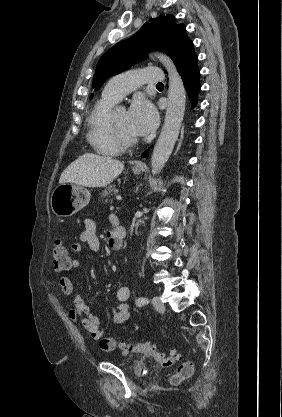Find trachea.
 <instances>
[{
	"label": "trachea",
	"instance_id": "1",
	"mask_svg": "<svg viewBox=\"0 0 282 417\" xmlns=\"http://www.w3.org/2000/svg\"><path fill=\"white\" fill-rule=\"evenodd\" d=\"M157 85H163V83L159 82V83H157Z\"/></svg>",
	"mask_w": 282,
	"mask_h": 417
}]
</instances>
